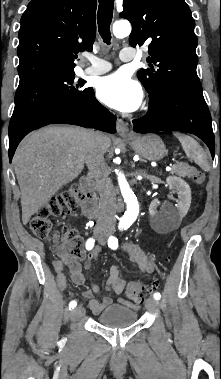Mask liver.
Listing matches in <instances>:
<instances>
[{
  "label": "liver",
  "instance_id": "1",
  "mask_svg": "<svg viewBox=\"0 0 221 379\" xmlns=\"http://www.w3.org/2000/svg\"><path fill=\"white\" fill-rule=\"evenodd\" d=\"M88 130L48 126L26 136L13 157L21 190L22 222L26 225L48 200L83 170ZM103 153L110 138L99 133Z\"/></svg>",
  "mask_w": 221,
  "mask_h": 379
}]
</instances>
